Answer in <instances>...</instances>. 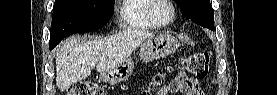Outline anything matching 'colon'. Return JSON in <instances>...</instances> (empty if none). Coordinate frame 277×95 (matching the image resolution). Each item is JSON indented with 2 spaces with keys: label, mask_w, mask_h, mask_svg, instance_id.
Listing matches in <instances>:
<instances>
[{
  "label": "colon",
  "mask_w": 277,
  "mask_h": 95,
  "mask_svg": "<svg viewBox=\"0 0 277 95\" xmlns=\"http://www.w3.org/2000/svg\"><path fill=\"white\" fill-rule=\"evenodd\" d=\"M210 52H201L185 56L181 60V66L184 70L195 77L201 78L208 74L210 68ZM165 80L164 75L157 76L152 82L151 87L157 88L162 86ZM103 88L95 82L78 81L72 84L67 92V95H102Z\"/></svg>",
  "instance_id": "5ec220e1"
}]
</instances>
